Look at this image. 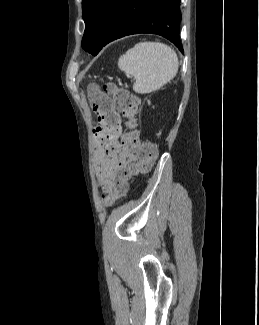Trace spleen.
Listing matches in <instances>:
<instances>
[{"label": "spleen", "mask_w": 259, "mask_h": 325, "mask_svg": "<svg viewBox=\"0 0 259 325\" xmlns=\"http://www.w3.org/2000/svg\"><path fill=\"white\" fill-rule=\"evenodd\" d=\"M176 52L161 42H140L118 60V67L134 77L133 90L145 94L160 89L178 71Z\"/></svg>", "instance_id": "spleen-1"}]
</instances>
